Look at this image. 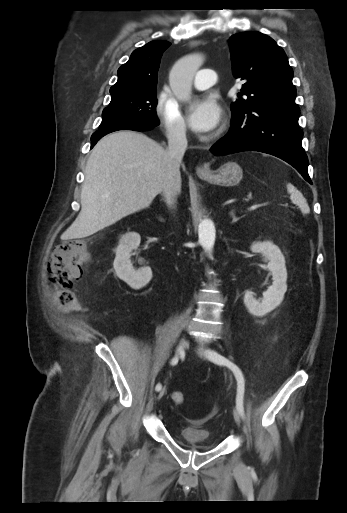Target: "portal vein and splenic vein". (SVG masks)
Returning <instances> with one entry per match:
<instances>
[{
  "instance_id": "18ae733b",
  "label": "portal vein and splenic vein",
  "mask_w": 347,
  "mask_h": 513,
  "mask_svg": "<svg viewBox=\"0 0 347 513\" xmlns=\"http://www.w3.org/2000/svg\"><path fill=\"white\" fill-rule=\"evenodd\" d=\"M260 206H261V205H259V204H257V205H253V206H251L250 208H248V211H250V212H251V211H255V210H257Z\"/></svg>"
}]
</instances>
